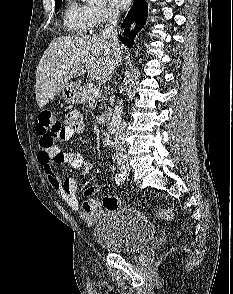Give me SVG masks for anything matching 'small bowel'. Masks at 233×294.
I'll return each mask as SVG.
<instances>
[{"instance_id": "1", "label": "small bowel", "mask_w": 233, "mask_h": 294, "mask_svg": "<svg viewBox=\"0 0 233 294\" xmlns=\"http://www.w3.org/2000/svg\"><path fill=\"white\" fill-rule=\"evenodd\" d=\"M63 133L60 140L69 141L74 135L84 131V121L80 112L72 110L67 114V121H62ZM40 164L43 166L47 180L59 197L73 211H81V218L89 225L94 224L103 214V210L98 199L93 196L101 190V185L89 186L84 195L87 199L80 205L77 196V182L74 178L61 179L58 173L60 165H68L72 168H82L83 172H88L92 164L85 159L80 152H61L57 147L41 150L38 156ZM120 203V202H119Z\"/></svg>"}]
</instances>
